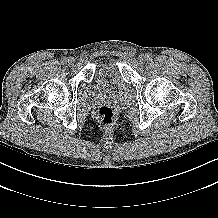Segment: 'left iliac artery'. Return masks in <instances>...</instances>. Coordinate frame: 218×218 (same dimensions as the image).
Listing matches in <instances>:
<instances>
[{
	"instance_id": "44dca946",
	"label": "left iliac artery",
	"mask_w": 218,
	"mask_h": 218,
	"mask_svg": "<svg viewBox=\"0 0 218 218\" xmlns=\"http://www.w3.org/2000/svg\"><path fill=\"white\" fill-rule=\"evenodd\" d=\"M146 57H147V60H151L153 56H152V54L147 53V56H146Z\"/></svg>"
}]
</instances>
